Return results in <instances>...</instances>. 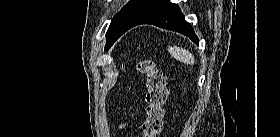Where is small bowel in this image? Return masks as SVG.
I'll return each mask as SVG.
<instances>
[{
	"mask_svg": "<svg viewBox=\"0 0 280 137\" xmlns=\"http://www.w3.org/2000/svg\"><path fill=\"white\" fill-rule=\"evenodd\" d=\"M135 114H130L128 116V118L126 119V121L124 122L125 125H130L131 123H133L135 121Z\"/></svg>",
	"mask_w": 280,
	"mask_h": 137,
	"instance_id": "1",
	"label": "small bowel"
}]
</instances>
